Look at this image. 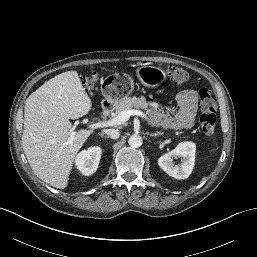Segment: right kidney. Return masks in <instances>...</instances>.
I'll list each match as a JSON object with an SVG mask.
<instances>
[{
    "instance_id": "right-kidney-1",
    "label": "right kidney",
    "mask_w": 257,
    "mask_h": 257,
    "mask_svg": "<svg viewBox=\"0 0 257 257\" xmlns=\"http://www.w3.org/2000/svg\"><path fill=\"white\" fill-rule=\"evenodd\" d=\"M102 150L100 147H90L81 151L76 158L77 169L85 176L96 172L101 158Z\"/></svg>"
}]
</instances>
